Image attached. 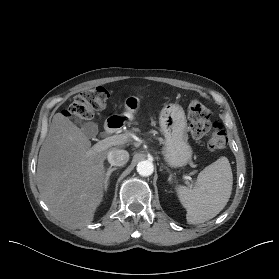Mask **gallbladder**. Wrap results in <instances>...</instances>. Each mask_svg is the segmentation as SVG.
I'll return each mask as SVG.
<instances>
[{
  "mask_svg": "<svg viewBox=\"0 0 279 279\" xmlns=\"http://www.w3.org/2000/svg\"><path fill=\"white\" fill-rule=\"evenodd\" d=\"M82 131L87 137L92 138L98 133V126L93 122H88L82 126Z\"/></svg>",
  "mask_w": 279,
  "mask_h": 279,
  "instance_id": "bac80fb5",
  "label": "gallbladder"
}]
</instances>
